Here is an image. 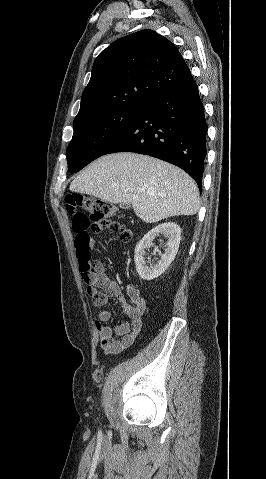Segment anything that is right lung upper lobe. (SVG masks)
<instances>
[{"mask_svg":"<svg viewBox=\"0 0 266 479\" xmlns=\"http://www.w3.org/2000/svg\"><path fill=\"white\" fill-rule=\"evenodd\" d=\"M190 78L186 62L168 39L152 30L133 33L95 59L74 120L113 109L144 108Z\"/></svg>","mask_w":266,"mask_h":479,"instance_id":"obj_1","label":"right lung upper lobe"}]
</instances>
